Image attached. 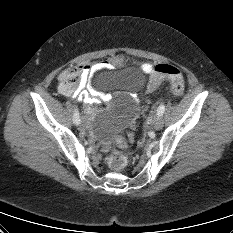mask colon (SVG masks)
I'll return each instance as SVG.
<instances>
[{
  "mask_svg": "<svg viewBox=\"0 0 233 233\" xmlns=\"http://www.w3.org/2000/svg\"><path fill=\"white\" fill-rule=\"evenodd\" d=\"M168 78L171 84L172 93L175 96H182L185 91V82L180 70L174 66L167 64H159L154 68L148 84V92L155 91L162 80ZM80 82V69L73 67L64 70L59 75L60 90L63 93L73 92ZM116 145L123 148L127 145V140L124 136L116 138ZM108 164L111 169L120 171L128 164L127 156L120 150H115L108 159Z\"/></svg>",
  "mask_w": 233,
  "mask_h": 233,
  "instance_id": "colon-1",
  "label": "colon"
}]
</instances>
